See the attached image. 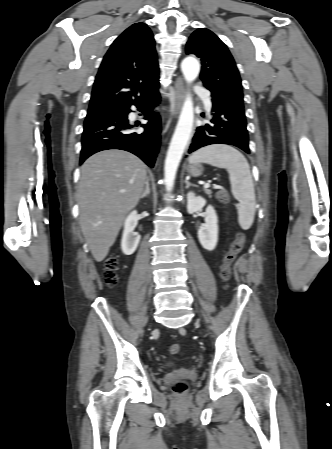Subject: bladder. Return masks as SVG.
<instances>
[{
	"label": "bladder",
	"mask_w": 332,
	"mask_h": 449,
	"mask_svg": "<svg viewBox=\"0 0 332 449\" xmlns=\"http://www.w3.org/2000/svg\"><path fill=\"white\" fill-rule=\"evenodd\" d=\"M174 366H175L174 363L170 362V361H167L162 364V368H164V369L173 368Z\"/></svg>",
	"instance_id": "1"
}]
</instances>
